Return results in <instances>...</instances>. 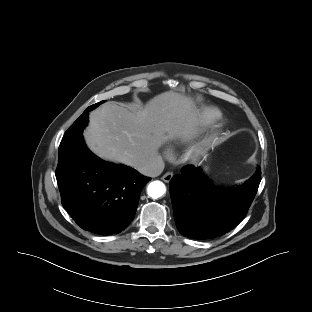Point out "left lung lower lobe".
<instances>
[{"instance_id": "1", "label": "left lung lower lobe", "mask_w": 312, "mask_h": 312, "mask_svg": "<svg viewBox=\"0 0 312 312\" xmlns=\"http://www.w3.org/2000/svg\"><path fill=\"white\" fill-rule=\"evenodd\" d=\"M261 181V168L242 185L215 188L201 168L186 166L170 185L174 218L179 232L193 239L222 236L245 217Z\"/></svg>"}]
</instances>
